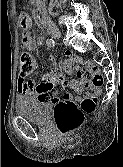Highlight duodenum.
<instances>
[{
  "mask_svg": "<svg viewBox=\"0 0 123 167\" xmlns=\"http://www.w3.org/2000/svg\"><path fill=\"white\" fill-rule=\"evenodd\" d=\"M38 1V9H37V14H38V19H39V23L41 24V25H45L46 24V19H47V17H46V11H45V9L44 8H42V6H41V4H40V1L41 0H37Z\"/></svg>",
  "mask_w": 123,
  "mask_h": 167,
  "instance_id": "obj_1",
  "label": "duodenum"
}]
</instances>
